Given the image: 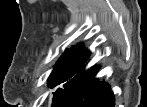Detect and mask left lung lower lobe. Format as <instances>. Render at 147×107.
<instances>
[{
  "label": "left lung lower lobe",
  "mask_w": 147,
  "mask_h": 107,
  "mask_svg": "<svg viewBox=\"0 0 147 107\" xmlns=\"http://www.w3.org/2000/svg\"><path fill=\"white\" fill-rule=\"evenodd\" d=\"M100 66H83L67 83L56 99L54 107H115L110 85L96 78Z\"/></svg>",
  "instance_id": "0a47b994"
}]
</instances>
